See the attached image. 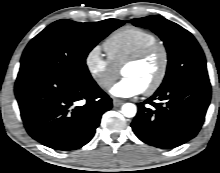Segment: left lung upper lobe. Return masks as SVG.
<instances>
[{
	"mask_svg": "<svg viewBox=\"0 0 220 173\" xmlns=\"http://www.w3.org/2000/svg\"><path fill=\"white\" fill-rule=\"evenodd\" d=\"M131 23L152 30L163 40L167 49L168 66L159 89L184 82H209L204 53L189 31L155 15L132 19Z\"/></svg>",
	"mask_w": 220,
	"mask_h": 173,
	"instance_id": "obj_1",
	"label": "left lung upper lobe"
}]
</instances>
